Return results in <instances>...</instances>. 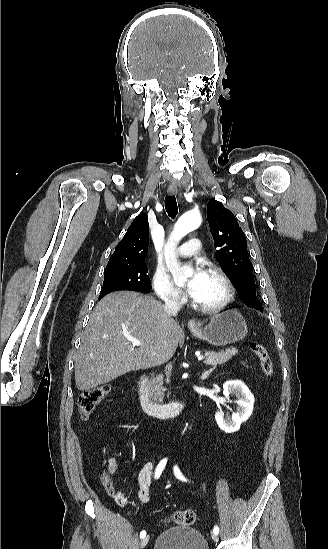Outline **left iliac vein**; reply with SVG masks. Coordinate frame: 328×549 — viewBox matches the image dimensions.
Listing matches in <instances>:
<instances>
[{"instance_id":"left-iliac-vein-1","label":"left iliac vein","mask_w":328,"mask_h":549,"mask_svg":"<svg viewBox=\"0 0 328 549\" xmlns=\"http://www.w3.org/2000/svg\"><path fill=\"white\" fill-rule=\"evenodd\" d=\"M211 537H212V539H213L214 541H218V536H217V534L212 533Z\"/></svg>"}]
</instances>
